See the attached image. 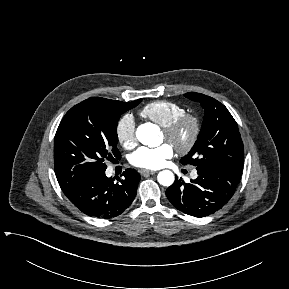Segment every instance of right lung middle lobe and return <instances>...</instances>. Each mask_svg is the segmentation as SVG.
<instances>
[{"instance_id": "1", "label": "right lung middle lobe", "mask_w": 289, "mask_h": 289, "mask_svg": "<svg viewBox=\"0 0 289 289\" xmlns=\"http://www.w3.org/2000/svg\"><path fill=\"white\" fill-rule=\"evenodd\" d=\"M141 101L114 107L83 101L66 113L54 139V169L63 191L105 172V159L120 157L118 120Z\"/></svg>"}]
</instances>
